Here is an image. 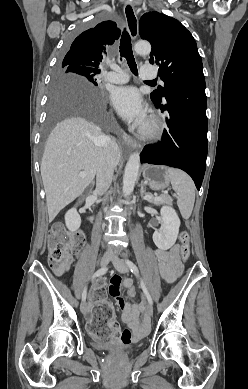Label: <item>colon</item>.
<instances>
[{
	"mask_svg": "<svg viewBox=\"0 0 248 389\" xmlns=\"http://www.w3.org/2000/svg\"><path fill=\"white\" fill-rule=\"evenodd\" d=\"M179 239L181 243V257L183 260H187L190 255V235L187 231H182ZM82 245L83 240L80 235L70 233L61 223L53 225L48 236V262L51 269L57 274L63 273L70 263L71 255L79 252ZM106 283L107 280L105 278H99L93 284L94 296L92 297V302L96 303L92 307L94 321L90 322L87 328L92 337H99L97 339L99 344H108L109 340H113L114 337L118 336V331L112 330V327L117 328V325L113 321V309L106 302L107 293L104 286ZM137 289L138 286L136 284H131L127 290V295L133 298ZM108 323L110 326H107ZM123 341L127 340L123 338Z\"/></svg>",
	"mask_w": 248,
	"mask_h": 389,
	"instance_id": "obj_1",
	"label": "colon"
}]
</instances>
